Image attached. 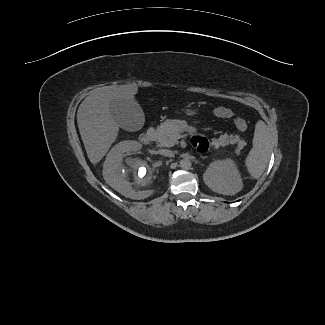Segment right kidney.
<instances>
[{"label":"right kidney","mask_w":325,"mask_h":325,"mask_svg":"<svg viewBox=\"0 0 325 325\" xmlns=\"http://www.w3.org/2000/svg\"><path fill=\"white\" fill-rule=\"evenodd\" d=\"M140 149L136 141L115 145L103 165V178L113 189L131 199H145L155 191L157 175L141 157H131Z\"/></svg>","instance_id":"ca27d5eb"}]
</instances>
